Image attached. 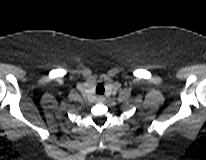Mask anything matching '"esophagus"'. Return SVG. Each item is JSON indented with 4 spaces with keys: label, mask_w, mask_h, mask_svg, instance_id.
Masks as SVG:
<instances>
[{
    "label": "esophagus",
    "mask_w": 206,
    "mask_h": 160,
    "mask_svg": "<svg viewBox=\"0 0 206 160\" xmlns=\"http://www.w3.org/2000/svg\"><path fill=\"white\" fill-rule=\"evenodd\" d=\"M104 99H105V98H104L103 96H101V95H99V96L96 97V101H97V102H103Z\"/></svg>",
    "instance_id": "esophagus-1"
}]
</instances>
